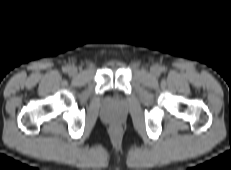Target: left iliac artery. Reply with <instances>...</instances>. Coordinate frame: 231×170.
Returning <instances> with one entry per match:
<instances>
[{
	"mask_svg": "<svg viewBox=\"0 0 231 170\" xmlns=\"http://www.w3.org/2000/svg\"><path fill=\"white\" fill-rule=\"evenodd\" d=\"M161 71H165V68H164V67H161Z\"/></svg>",
	"mask_w": 231,
	"mask_h": 170,
	"instance_id": "44dca946",
	"label": "left iliac artery"
}]
</instances>
